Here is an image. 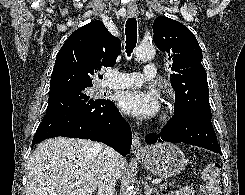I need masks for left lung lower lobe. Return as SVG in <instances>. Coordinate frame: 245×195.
Listing matches in <instances>:
<instances>
[{"label": "left lung lower lobe", "mask_w": 245, "mask_h": 195, "mask_svg": "<svg viewBox=\"0 0 245 195\" xmlns=\"http://www.w3.org/2000/svg\"><path fill=\"white\" fill-rule=\"evenodd\" d=\"M212 116L198 111H186L174 114L159 134H149L147 144L156 142L187 143L200 146L222 155L214 132Z\"/></svg>", "instance_id": "0a47b994"}]
</instances>
